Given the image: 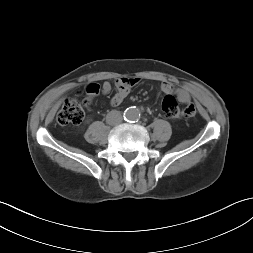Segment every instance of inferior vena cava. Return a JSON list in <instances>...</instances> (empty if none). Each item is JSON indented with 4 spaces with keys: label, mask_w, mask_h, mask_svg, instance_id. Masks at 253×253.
I'll return each mask as SVG.
<instances>
[{
    "label": "inferior vena cava",
    "mask_w": 253,
    "mask_h": 253,
    "mask_svg": "<svg viewBox=\"0 0 253 253\" xmlns=\"http://www.w3.org/2000/svg\"><path fill=\"white\" fill-rule=\"evenodd\" d=\"M122 114L120 111L112 110L107 114L106 122L109 125H117L122 122Z\"/></svg>",
    "instance_id": "1"
}]
</instances>
